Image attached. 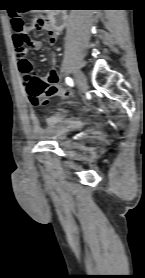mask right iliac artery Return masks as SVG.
<instances>
[{
	"label": "right iliac artery",
	"mask_w": 145,
	"mask_h": 278,
	"mask_svg": "<svg viewBox=\"0 0 145 278\" xmlns=\"http://www.w3.org/2000/svg\"><path fill=\"white\" fill-rule=\"evenodd\" d=\"M66 83L70 86H73V80L69 77L66 78Z\"/></svg>",
	"instance_id": "obj_1"
}]
</instances>
